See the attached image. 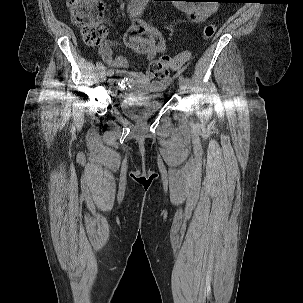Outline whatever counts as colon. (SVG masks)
<instances>
[{
	"instance_id": "5ec220e1",
	"label": "colon",
	"mask_w": 303,
	"mask_h": 303,
	"mask_svg": "<svg viewBox=\"0 0 303 303\" xmlns=\"http://www.w3.org/2000/svg\"><path fill=\"white\" fill-rule=\"evenodd\" d=\"M67 5L75 26L81 29L84 42L89 46L100 45L106 37V28L102 23L104 6L101 0H67ZM216 25L209 23L204 27V38L214 36ZM190 58V54L184 52L173 58L167 54L153 60L149 71L158 78L169 75L172 69H179Z\"/></svg>"
}]
</instances>
